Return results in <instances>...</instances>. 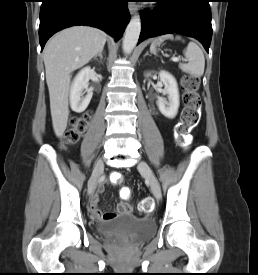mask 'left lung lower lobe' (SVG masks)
<instances>
[{"label":"left lung lower lobe","instance_id":"obj_1","mask_svg":"<svg viewBox=\"0 0 258 275\" xmlns=\"http://www.w3.org/2000/svg\"><path fill=\"white\" fill-rule=\"evenodd\" d=\"M153 11L142 10L138 43L149 37L178 33L196 38L209 52L212 37L209 0H159Z\"/></svg>","mask_w":258,"mask_h":275}]
</instances>
